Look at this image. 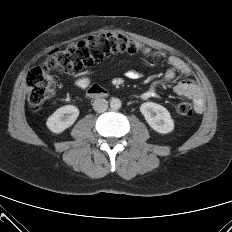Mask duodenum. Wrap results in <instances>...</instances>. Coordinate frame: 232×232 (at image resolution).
Returning <instances> with one entry per match:
<instances>
[{"instance_id":"410a0bca","label":"duodenum","mask_w":232,"mask_h":232,"mask_svg":"<svg viewBox=\"0 0 232 232\" xmlns=\"http://www.w3.org/2000/svg\"><path fill=\"white\" fill-rule=\"evenodd\" d=\"M107 95V90L103 87H92L87 90L86 97L87 98H101Z\"/></svg>"}]
</instances>
